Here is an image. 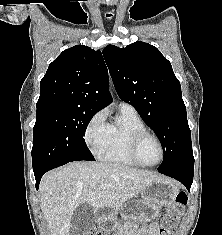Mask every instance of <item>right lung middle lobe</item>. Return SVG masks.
Instances as JSON below:
<instances>
[{
	"label": "right lung middle lobe",
	"instance_id": "dd1d6c3e",
	"mask_svg": "<svg viewBox=\"0 0 222 235\" xmlns=\"http://www.w3.org/2000/svg\"><path fill=\"white\" fill-rule=\"evenodd\" d=\"M96 113L62 106L37 112L33 128V171L59 162L95 160L83 137Z\"/></svg>",
	"mask_w": 222,
	"mask_h": 235
}]
</instances>
